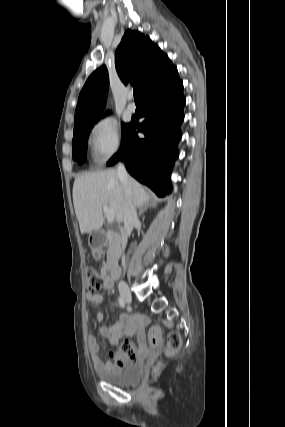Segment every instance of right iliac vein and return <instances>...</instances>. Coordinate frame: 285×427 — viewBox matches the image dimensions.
Returning a JSON list of instances; mask_svg holds the SVG:
<instances>
[{
    "label": "right iliac vein",
    "instance_id": "1",
    "mask_svg": "<svg viewBox=\"0 0 285 427\" xmlns=\"http://www.w3.org/2000/svg\"><path fill=\"white\" fill-rule=\"evenodd\" d=\"M119 291H120V295H121L122 299L124 300V302L130 303L132 301L131 292L129 290L128 285L125 282H120Z\"/></svg>",
    "mask_w": 285,
    "mask_h": 427
}]
</instances>
